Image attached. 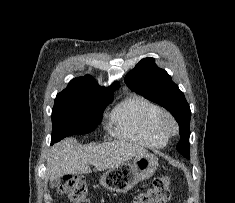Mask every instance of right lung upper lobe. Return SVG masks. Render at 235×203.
Instances as JSON below:
<instances>
[{"mask_svg":"<svg viewBox=\"0 0 235 203\" xmlns=\"http://www.w3.org/2000/svg\"><path fill=\"white\" fill-rule=\"evenodd\" d=\"M119 87V82H114L109 87H100L93 77L86 75L73 79L63 91H87L102 94H111Z\"/></svg>","mask_w":235,"mask_h":203,"instance_id":"right-lung-upper-lobe-1","label":"right lung upper lobe"}]
</instances>
